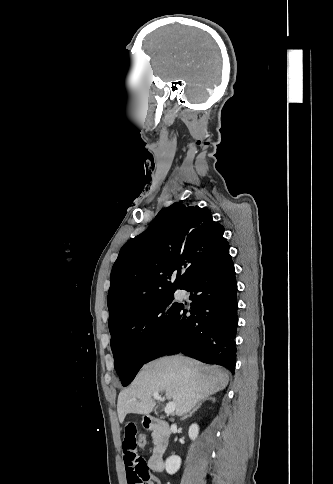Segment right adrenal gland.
Returning a JSON list of instances; mask_svg holds the SVG:
<instances>
[{
    "label": "right adrenal gland",
    "instance_id": "obj_1",
    "mask_svg": "<svg viewBox=\"0 0 333 484\" xmlns=\"http://www.w3.org/2000/svg\"><path fill=\"white\" fill-rule=\"evenodd\" d=\"M206 399H207V398H204V399H202L201 401H199V402L197 403V405H195V406L193 407V409H192V410H191V411H190L188 414H186L184 417H182V419H186V418H188V417H191V416H192V415H193V414H194V413H195V412H196V411H197V410L200 408V406H201L202 402H203V401H205ZM208 399L213 400V398H208Z\"/></svg>",
    "mask_w": 333,
    "mask_h": 484
}]
</instances>
